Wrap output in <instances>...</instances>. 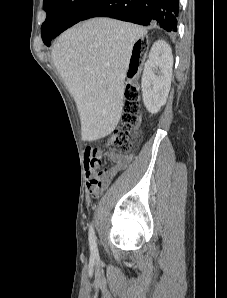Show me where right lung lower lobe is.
Returning <instances> with one entry per match:
<instances>
[{
	"label": "right lung lower lobe",
	"instance_id": "obj_1",
	"mask_svg": "<svg viewBox=\"0 0 227 298\" xmlns=\"http://www.w3.org/2000/svg\"><path fill=\"white\" fill-rule=\"evenodd\" d=\"M178 12V0H100L81 20L110 17L144 26L157 24L175 32ZM61 32L58 30L52 38Z\"/></svg>",
	"mask_w": 227,
	"mask_h": 298
}]
</instances>
